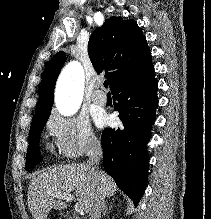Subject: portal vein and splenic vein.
Masks as SVG:
<instances>
[{
    "label": "portal vein and splenic vein",
    "mask_w": 211,
    "mask_h": 219,
    "mask_svg": "<svg viewBox=\"0 0 211 219\" xmlns=\"http://www.w3.org/2000/svg\"><path fill=\"white\" fill-rule=\"evenodd\" d=\"M52 197L58 198V199H63V200L70 201V202L74 200V196L69 194V193H56V194H53ZM74 208H75L76 212L83 211L82 207L78 203H76Z\"/></svg>",
    "instance_id": "portal-vein-and-splenic-vein-1"
}]
</instances>
